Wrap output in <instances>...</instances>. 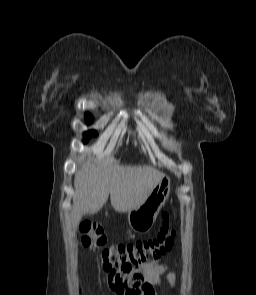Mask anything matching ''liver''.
Segmentation results:
<instances>
[{
    "label": "liver",
    "instance_id": "1",
    "mask_svg": "<svg viewBox=\"0 0 256 295\" xmlns=\"http://www.w3.org/2000/svg\"><path fill=\"white\" fill-rule=\"evenodd\" d=\"M162 177V173L151 166L120 165L113 157L95 164L89 156L74 179L73 230L77 229L84 214L100 211L109 194L117 212H128L141 206Z\"/></svg>",
    "mask_w": 256,
    "mask_h": 295
}]
</instances>
